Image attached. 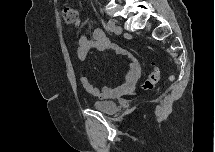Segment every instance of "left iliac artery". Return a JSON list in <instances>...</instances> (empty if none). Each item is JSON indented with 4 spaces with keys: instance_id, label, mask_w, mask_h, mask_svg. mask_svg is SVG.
Listing matches in <instances>:
<instances>
[{
    "instance_id": "obj_1",
    "label": "left iliac artery",
    "mask_w": 215,
    "mask_h": 152,
    "mask_svg": "<svg viewBox=\"0 0 215 152\" xmlns=\"http://www.w3.org/2000/svg\"><path fill=\"white\" fill-rule=\"evenodd\" d=\"M113 27H114V22L108 21V22L106 23V28H107L110 32L113 31Z\"/></svg>"
}]
</instances>
